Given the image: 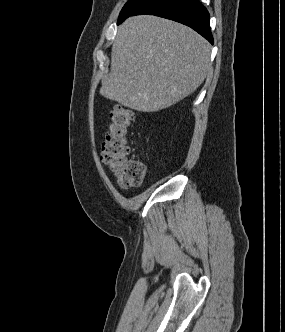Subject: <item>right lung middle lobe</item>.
I'll return each instance as SVG.
<instances>
[{
  "label": "right lung middle lobe",
  "instance_id": "dd1d6c3e",
  "mask_svg": "<svg viewBox=\"0 0 285 332\" xmlns=\"http://www.w3.org/2000/svg\"><path fill=\"white\" fill-rule=\"evenodd\" d=\"M148 0H128L120 12L118 18V24L122 23L126 18H128L134 11L140 8Z\"/></svg>",
  "mask_w": 285,
  "mask_h": 332
}]
</instances>
